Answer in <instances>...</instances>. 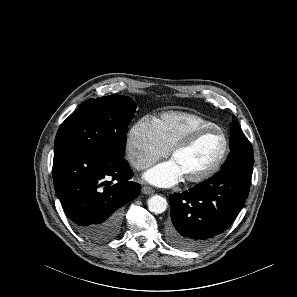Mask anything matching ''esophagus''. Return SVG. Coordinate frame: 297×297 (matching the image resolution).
Here are the masks:
<instances>
[{
  "label": "esophagus",
  "instance_id": "1",
  "mask_svg": "<svg viewBox=\"0 0 297 297\" xmlns=\"http://www.w3.org/2000/svg\"><path fill=\"white\" fill-rule=\"evenodd\" d=\"M141 192L143 194H153L154 190L152 188H150V187L144 186V187L141 188Z\"/></svg>",
  "mask_w": 297,
  "mask_h": 297
}]
</instances>
